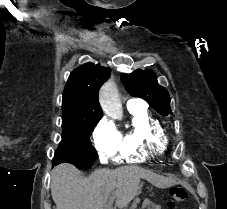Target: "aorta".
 Returning a JSON list of instances; mask_svg holds the SVG:
<instances>
[{
    "mask_svg": "<svg viewBox=\"0 0 227 209\" xmlns=\"http://www.w3.org/2000/svg\"><path fill=\"white\" fill-rule=\"evenodd\" d=\"M100 102L104 112L112 118H120L123 114L118 91L113 82L106 83L100 92Z\"/></svg>",
    "mask_w": 227,
    "mask_h": 209,
    "instance_id": "1",
    "label": "aorta"
}]
</instances>
